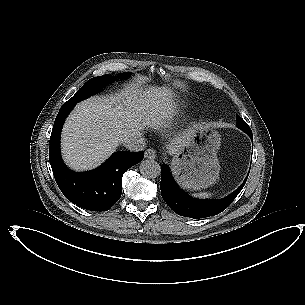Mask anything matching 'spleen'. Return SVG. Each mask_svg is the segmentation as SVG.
Segmentation results:
<instances>
[{"label": "spleen", "mask_w": 305, "mask_h": 305, "mask_svg": "<svg viewBox=\"0 0 305 305\" xmlns=\"http://www.w3.org/2000/svg\"><path fill=\"white\" fill-rule=\"evenodd\" d=\"M192 196L195 197V198L207 199V198L211 197V193L200 192V193H195Z\"/></svg>", "instance_id": "1"}]
</instances>
